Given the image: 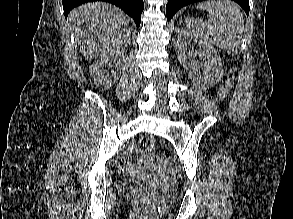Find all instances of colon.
<instances>
[{
  "instance_id": "obj_1",
  "label": "colon",
  "mask_w": 293,
  "mask_h": 219,
  "mask_svg": "<svg viewBox=\"0 0 293 219\" xmlns=\"http://www.w3.org/2000/svg\"><path fill=\"white\" fill-rule=\"evenodd\" d=\"M237 72V65H233L227 75L226 82L219 89L216 97L217 102H222L229 94L232 89L235 81V75ZM155 140L152 136H144L142 137L137 145V150L141 154H146L152 150L154 147ZM140 203L144 205L148 209H152V202L149 198H141Z\"/></svg>"
}]
</instances>
